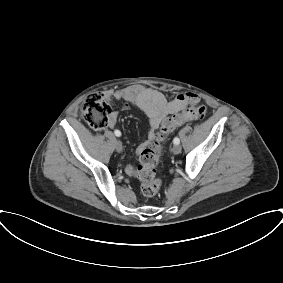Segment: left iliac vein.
Wrapping results in <instances>:
<instances>
[{"instance_id":"1","label":"left iliac vein","mask_w":283,"mask_h":283,"mask_svg":"<svg viewBox=\"0 0 283 283\" xmlns=\"http://www.w3.org/2000/svg\"><path fill=\"white\" fill-rule=\"evenodd\" d=\"M181 150H182L181 145L175 144L174 147H173V149H172V152H173L174 154H179V153L181 152Z\"/></svg>"}]
</instances>
